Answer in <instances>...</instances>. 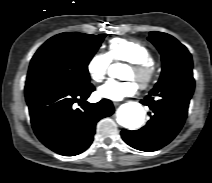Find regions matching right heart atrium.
Instances as JSON below:
<instances>
[{"mask_svg": "<svg viewBox=\"0 0 212 183\" xmlns=\"http://www.w3.org/2000/svg\"><path fill=\"white\" fill-rule=\"evenodd\" d=\"M110 64L111 59L108 54L102 52L95 53L87 63V72L90 78L96 83L104 81Z\"/></svg>", "mask_w": 212, "mask_h": 183, "instance_id": "obj_1", "label": "right heart atrium"}]
</instances>
